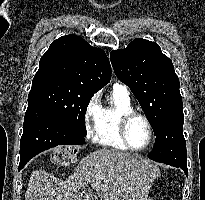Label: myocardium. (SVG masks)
Listing matches in <instances>:
<instances>
[{
  "instance_id": "myocardium-1",
  "label": "myocardium",
  "mask_w": 205,
  "mask_h": 200,
  "mask_svg": "<svg viewBox=\"0 0 205 200\" xmlns=\"http://www.w3.org/2000/svg\"><path fill=\"white\" fill-rule=\"evenodd\" d=\"M135 118H141L142 120H144V122L146 123V125L148 127V131H149V137H148L147 143L140 148L132 146L129 139H128L129 124ZM119 133H120L122 141L128 147V149H130L132 151H137V152L143 151L150 146V144L152 143L153 134H154L153 133V126H152L149 118L146 115H144L140 112H137V111H132V112L126 113L121 117L120 123H119Z\"/></svg>"
}]
</instances>
